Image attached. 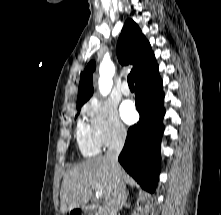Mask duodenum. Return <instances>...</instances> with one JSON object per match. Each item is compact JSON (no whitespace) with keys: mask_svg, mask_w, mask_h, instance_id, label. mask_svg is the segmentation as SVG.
Segmentation results:
<instances>
[{"mask_svg":"<svg viewBox=\"0 0 221 215\" xmlns=\"http://www.w3.org/2000/svg\"><path fill=\"white\" fill-rule=\"evenodd\" d=\"M88 207L76 208L73 210L72 215H88Z\"/></svg>","mask_w":221,"mask_h":215,"instance_id":"obj_1","label":"duodenum"}]
</instances>
